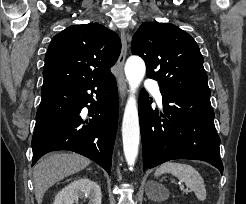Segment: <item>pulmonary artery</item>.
<instances>
[{
	"label": "pulmonary artery",
	"mask_w": 246,
	"mask_h": 204,
	"mask_svg": "<svg viewBox=\"0 0 246 204\" xmlns=\"http://www.w3.org/2000/svg\"><path fill=\"white\" fill-rule=\"evenodd\" d=\"M145 87L151 91L157 102L162 103V95L158 84L153 80H147L145 82Z\"/></svg>",
	"instance_id": "pulmonary-artery-1"
}]
</instances>
